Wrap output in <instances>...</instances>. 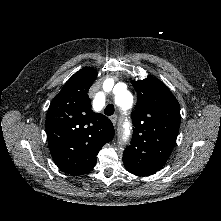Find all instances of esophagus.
<instances>
[{"label": "esophagus", "mask_w": 221, "mask_h": 221, "mask_svg": "<svg viewBox=\"0 0 221 221\" xmlns=\"http://www.w3.org/2000/svg\"><path fill=\"white\" fill-rule=\"evenodd\" d=\"M110 120L112 121L113 125H116V123H117V115L116 114L112 115L110 117Z\"/></svg>", "instance_id": "obj_1"}]
</instances>
